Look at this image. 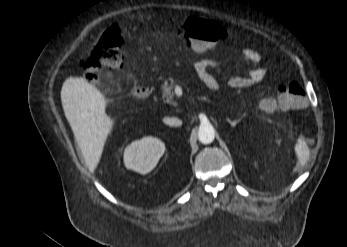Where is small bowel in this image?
Masks as SVG:
<instances>
[{
    "instance_id": "c3829d8e",
    "label": "small bowel",
    "mask_w": 347,
    "mask_h": 247,
    "mask_svg": "<svg viewBox=\"0 0 347 247\" xmlns=\"http://www.w3.org/2000/svg\"><path fill=\"white\" fill-rule=\"evenodd\" d=\"M243 59L251 66L245 75H230L227 78L228 84L233 88H247L253 86L266 75V70L262 66L260 53L255 49L248 48L243 52ZM219 63L212 59L202 58L195 62V70L201 81L211 90H217L219 83L211 70L219 69Z\"/></svg>"
}]
</instances>
